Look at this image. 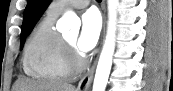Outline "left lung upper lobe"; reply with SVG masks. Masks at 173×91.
Here are the masks:
<instances>
[{
  "mask_svg": "<svg viewBox=\"0 0 173 91\" xmlns=\"http://www.w3.org/2000/svg\"><path fill=\"white\" fill-rule=\"evenodd\" d=\"M36 3V0H28V4L24 10V16H23V24H22V30H21V35H23L26 24H27V20H28V15L31 12L34 4Z\"/></svg>",
  "mask_w": 173,
  "mask_h": 91,
  "instance_id": "1",
  "label": "left lung upper lobe"
}]
</instances>
